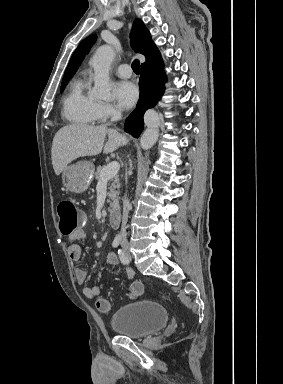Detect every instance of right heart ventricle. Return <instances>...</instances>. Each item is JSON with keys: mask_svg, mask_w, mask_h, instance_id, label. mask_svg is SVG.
Instances as JSON below:
<instances>
[{"mask_svg": "<svg viewBox=\"0 0 283 384\" xmlns=\"http://www.w3.org/2000/svg\"><path fill=\"white\" fill-rule=\"evenodd\" d=\"M99 102L86 92L83 74L73 77L62 98V115L67 122L77 127H90L99 119Z\"/></svg>", "mask_w": 283, "mask_h": 384, "instance_id": "right-heart-ventricle-1", "label": "right heart ventricle"}]
</instances>
